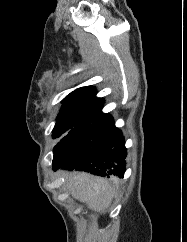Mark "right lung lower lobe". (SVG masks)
Returning <instances> with one entry per match:
<instances>
[{
	"mask_svg": "<svg viewBox=\"0 0 187 242\" xmlns=\"http://www.w3.org/2000/svg\"><path fill=\"white\" fill-rule=\"evenodd\" d=\"M53 169H75L100 176L124 177L127 155L122 132L112 116L67 133L53 149Z\"/></svg>",
	"mask_w": 187,
	"mask_h": 242,
	"instance_id": "1",
	"label": "right lung lower lobe"
}]
</instances>
